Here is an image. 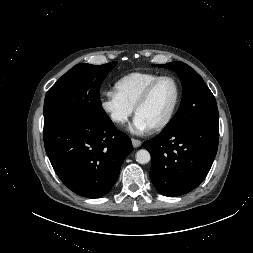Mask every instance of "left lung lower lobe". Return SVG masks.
Returning a JSON list of instances; mask_svg holds the SVG:
<instances>
[{
    "label": "left lung lower lobe",
    "mask_w": 253,
    "mask_h": 253,
    "mask_svg": "<svg viewBox=\"0 0 253 253\" xmlns=\"http://www.w3.org/2000/svg\"><path fill=\"white\" fill-rule=\"evenodd\" d=\"M219 126L196 124L145 141L152 167L150 179L168 197L186 194L207 176L217 153Z\"/></svg>",
    "instance_id": "obj_1"
}]
</instances>
